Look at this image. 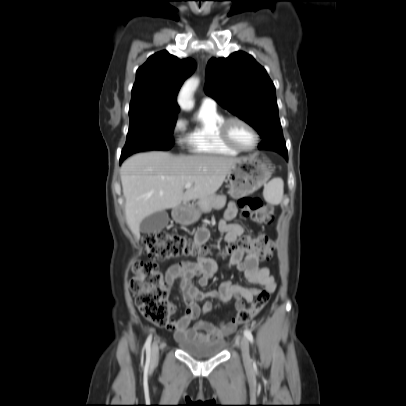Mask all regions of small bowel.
I'll list each match as a JSON object with an SVG mask.
<instances>
[{"instance_id":"small-bowel-1","label":"small bowel","mask_w":406,"mask_h":406,"mask_svg":"<svg viewBox=\"0 0 406 406\" xmlns=\"http://www.w3.org/2000/svg\"><path fill=\"white\" fill-rule=\"evenodd\" d=\"M238 213L237 205L234 202L228 204L224 218L219 222L218 228L224 233L226 242L234 244L239 237L245 233V226L233 222ZM209 229L200 228L195 235V243L203 245L209 238ZM235 267L242 272L246 280L253 285L274 291L276 284L269 267L260 264L258 256L248 253L233 254L225 265V268ZM219 270L215 261L204 256H198L196 262L184 261L170 265L165 271L167 287L171 289L175 283L183 294L185 310L181 317L172 319L171 323L164 328L173 331L177 341L185 340L195 343L220 341L224 336L233 332L235 323L230 321L212 324L199 319L201 315L212 311L211 300H206L202 305L199 302L209 298L227 303L231 300L235 302L237 310L244 308L245 303H249L260 292L257 287L246 288L241 285L224 281L218 291L204 293L194 285V279L198 277L200 286H207L210 279ZM172 312L176 307L172 305Z\"/></svg>"}]
</instances>
